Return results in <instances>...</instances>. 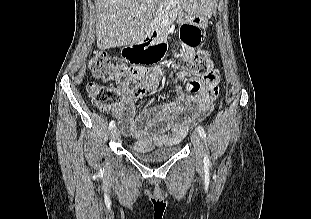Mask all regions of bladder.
<instances>
[{
    "label": "bladder",
    "instance_id": "31cf9c89",
    "mask_svg": "<svg viewBox=\"0 0 311 219\" xmlns=\"http://www.w3.org/2000/svg\"><path fill=\"white\" fill-rule=\"evenodd\" d=\"M128 149L138 158L155 162L172 158L180 151V146L170 144L163 147L154 148L151 144L137 141L129 144Z\"/></svg>",
    "mask_w": 311,
    "mask_h": 219
}]
</instances>
